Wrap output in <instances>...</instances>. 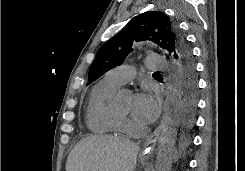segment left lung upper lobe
Listing matches in <instances>:
<instances>
[{"mask_svg":"<svg viewBox=\"0 0 245 171\" xmlns=\"http://www.w3.org/2000/svg\"><path fill=\"white\" fill-rule=\"evenodd\" d=\"M151 40L169 51L176 61H193L185 38L163 12L148 11L130 21L99 50L89 69L88 84L123 63L134 41Z\"/></svg>","mask_w":245,"mask_h":171,"instance_id":"1","label":"left lung upper lobe"}]
</instances>
